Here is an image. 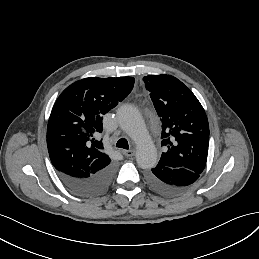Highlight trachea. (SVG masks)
Masks as SVG:
<instances>
[{
    "mask_svg": "<svg viewBox=\"0 0 259 259\" xmlns=\"http://www.w3.org/2000/svg\"><path fill=\"white\" fill-rule=\"evenodd\" d=\"M116 147L128 150L129 149L128 141L125 138H121L118 140Z\"/></svg>",
    "mask_w": 259,
    "mask_h": 259,
    "instance_id": "obj_1",
    "label": "trachea"
}]
</instances>
